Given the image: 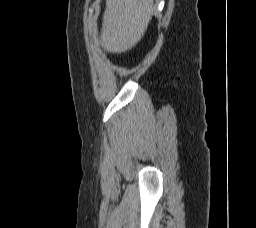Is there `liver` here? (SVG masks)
<instances>
[{"mask_svg":"<svg viewBox=\"0 0 256 228\" xmlns=\"http://www.w3.org/2000/svg\"><path fill=\"white\" fill-rule=\"evenodd\" d=\"M153 14V0H106L100 44L106 52L122 53L144 36Z\"/></svg>","mask_w":256,"mask_h":228,"instance_id":"liver-1","label":"liver"}]
</instances>
